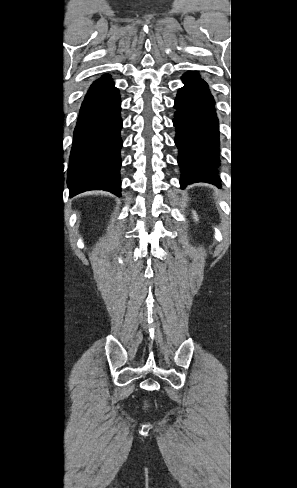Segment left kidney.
Segmentation results:
<instances>
[{
	"label": "left kidney",
	"instance_id": "obj_1",
	"mask_svg": "<svg viewBox=\"0 0 297 488\" xmlns=\"http://www.w3.org/2000/svg\"><path fill=\"white\" fill-rule=\"evenodd\" d=\"M193 215H194V219H195V220H198L197 215H196V213H195V212H193Z\"/></svg>",
	"mask_w": 297,
	"mask_h": 488
}]
</instances>
